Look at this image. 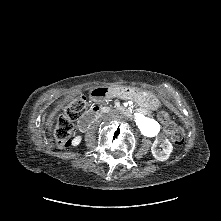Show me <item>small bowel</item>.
<instances>
[{
	"label": "small bowel",
	"mask_w": 221,
	"mask_h": 221,
	"mask_svg": "<svg viewBox=\"0 0 221 221\" xmlns=\"http://www.w3.org/2000/svg\"><path fill=\"white\" fill-rule=\"evenodd\" d=\"M59 108H60V106H59ZM141 114H142L143 116H146V114H145L144 112H142Z\"/></svg>",
	"instance_id": "small-bowel-1"
}]
</instances>
